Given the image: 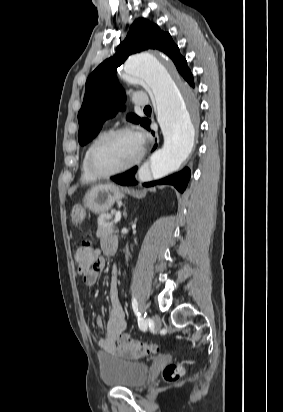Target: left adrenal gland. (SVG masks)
<instances>
[{
    "mask_svg": "<svg viewBox=\"0 0 283 412\" xmlns=\"http://www.w3.org/2000/svg\"><path fill=\"white\" fill-rule=\"evenodd\" d=\"M123 215H124V217H125V219H126V218H127V212H126V210H124Z\"/></svg>",
    "mask_w": 283,
    "mask_h": 412,
    "instance_id": "obj_1",
    "label": "left adrenal gland"
}]
</instances>
